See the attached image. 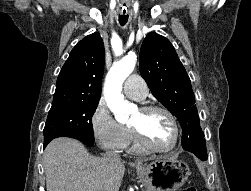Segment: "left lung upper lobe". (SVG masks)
<instances>
[{
	"label": "left lung upper lobe",
	"mask_w": 251,
	"mask_h": 191,
	"mask_svg": "<svg viewBox=\"0 0 251 191\" xmlns=\"http://www.w3.org/2000/svg\"><path fill=\"white\" fill-rule=\"evenodd\" d=\"M140 73L153 96L179 120L183 149L207 160L206 141L191 82L167 38L157 33L146 36L140 50Z\"/></svg>",
	"instance_id": "obj_1"
}]
</instances>
